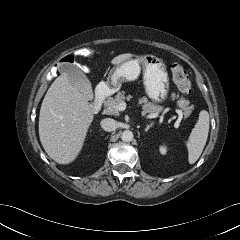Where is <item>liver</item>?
<instances>
[{
	"instance_id": "6515ba94",
	"label": "liver",
	"mask_w": 240,
	"mask_h": 240,
	"mask_svg": "<svg viewBox=\"0 0 240 240\" xmlns=\"http://www.w3.org/2000/svg\"><path fill=\"white\" fill-rule=\"evenodd\" d=\"M132 54L114 57L120 65ZM94 119L87 97L61 73L49 87L39 115V137L45 152L59 164L73 162L80 153L88 128Z\"/></svg>"
}]
</instances>
